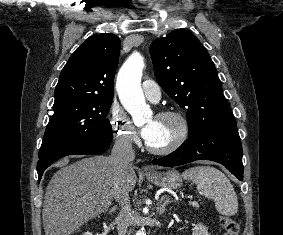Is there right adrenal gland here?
Returning <instances> with one entry per match:
<instances>
[{
	"instance_id": "2a0ac1e0",
	"label": "right adrenal gland",
	"mask_w": 283,
	"mask_h": 235,
	"mask_svg": "<svg viewBox=\"0 0 283 235\" xmlns=\"http://www.w3.org/2000/svg\"><path fill=\"white\" fill-rule=\"evenodd\" d=\"M117 210V206L112 207L111 212Z\"/></svg>"
}]
</instances>
